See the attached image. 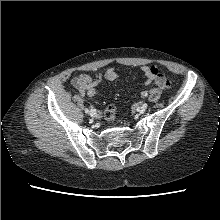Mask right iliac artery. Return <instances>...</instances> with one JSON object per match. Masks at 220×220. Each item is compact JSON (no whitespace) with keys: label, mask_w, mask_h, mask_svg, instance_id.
<instances>
[{"label":"right iliac artery","mask_w":220,"mask_h":220,"mask_svg":"<svg viewBox=\"0 0 220 220\" xmlns=\"http://www.w3.org/2000/svg\"><path fill=\"white\" fill-rule=\"evenodd\" d=\"M85 112H86V113H90L89 109H87V108L85 109Z\"/></svg>","instance_id":"1"}]
</instances>
